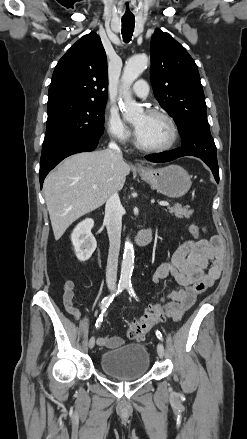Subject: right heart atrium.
<instances>
[{
  "instance_id": "right-heart-atrium-1",
  "label": "right heart atrium",
  "mask_w": 247,
  "mask_h": 439,
  "mask_svg": "<svg viewBox=\"0 0 247 439\" xmlns=\"http://www.w3.org/2000/svg\"><path fill=\"white\" fill-rule=\"evenodd\" d=\"M104 125L111 139L120 143H126L129 140L130 131L116 109H107L104 117Z\"/></svg>"
}]
</instances>
